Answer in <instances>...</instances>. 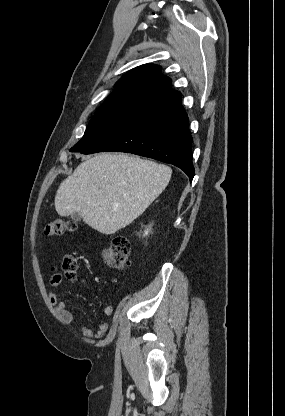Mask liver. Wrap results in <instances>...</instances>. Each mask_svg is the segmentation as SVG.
I'll use <instances>...</instances> for the list:
<instances>
[{
    "label": "liver",
    "mask_w": 285,
    "mask_h": 416,
    "mask_svg": "<svg viewBox=\"0 0 285 416\" xmlns=\"http://www.w3.org/2000/svg\"><path fill=\"white\" fill-rule=\"evenodd\" d=\"M171 174V168L150 160L99 154L77 166L60 184L55 210L59 216L79 214L97 232L115 234L162 194Z\"/></svg>",
    "instance_id": "liver-1"
}]
</instances>
